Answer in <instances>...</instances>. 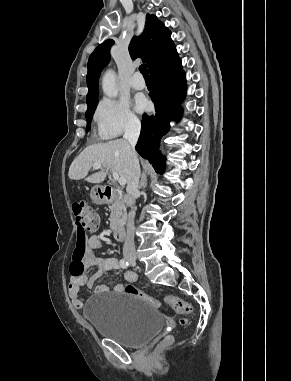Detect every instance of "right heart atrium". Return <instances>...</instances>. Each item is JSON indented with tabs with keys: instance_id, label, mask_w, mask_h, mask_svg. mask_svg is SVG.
Returning a JSON list of instances; mask_svg holds the SVG:
<instances>
[{
	"instance_id": "obj_1",
	"label": "right heart atrium",
	"mask_w": 291,
	"mask_h": 381,
	"mask_svg": "<svg viewBox=\"0 0 291 381\" xmlns=\"http://www.w3.org/2000/svg\"><path fill=\"white\" fill-rule=\"evenodd\" d=\"M94 119L99 134L106 139L120 136L124 132L135 131L140 120L124 99L103 98L97 105Z\"/></svg>"
}]
</instances>
